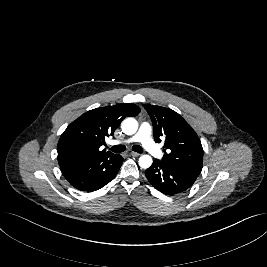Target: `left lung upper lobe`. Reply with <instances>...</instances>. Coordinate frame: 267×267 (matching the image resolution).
Returning a JSON list of instances; mask_svg holds the SVG:
<instances>
[{
    "label": "left lung upper lobe",
    "instance_id": "1",
    "mask_svg": "<svg viewBox=\"0 0 267 267\" xmlns=\"http://www.w3.org/2000/svg\"><path fill=\"white\" fill-rule=\"evenodd\" d=\"M154 130L156 142H164V165L198 176L202 170L203 148L192 127L175 111L144 104ZM167 150V151H166Z\"/></svg>",
    "mask_w": 267,
    "mask_h": 267
}]
</instances>
